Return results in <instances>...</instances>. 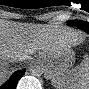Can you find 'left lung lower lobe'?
Returning <instances> with one entry per match:
<instances>
[{
    "instance_id": "left-lung-lower-lobe-1",
    "label": "left lung lower lobe",
    "mask_w": 89,
    "mask_h": 89,
    "mask_svg": "<svg viewBox=\"0 0 89 89\" xmlns=\"http://www.w3.org/2000/svg\"><path fill=\"white\" fill-rule=\"evenodd\" d=\"M80 29L86 31L87 33H89V27L87 25H82V26H78Z\"/></svg>"
}]
</instances>
